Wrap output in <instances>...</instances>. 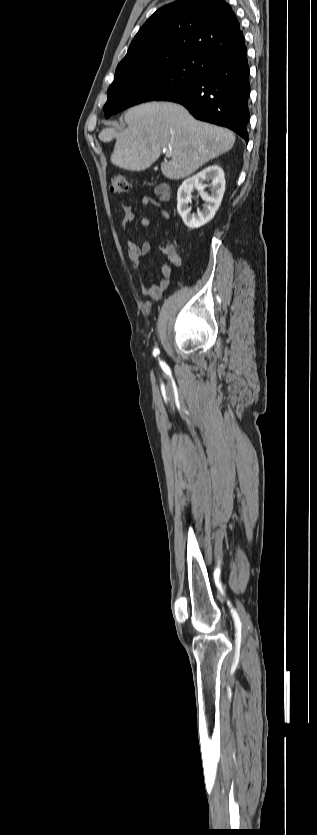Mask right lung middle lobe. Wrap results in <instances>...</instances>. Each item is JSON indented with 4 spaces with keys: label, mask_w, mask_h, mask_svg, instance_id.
Segmentation results:
<instances>
[{
    "label": "right lung middle lobe",
    "mask_w": 317,
    "mask_h": 835,
    "mask_svg": "<svg viewBox=\"0 0 317 835\" xmlns=\"http://www.w3.org/2000/svg\"><path fill=\"white\" fill-rule=\"evenodd\" d=\"M200 70V60L195 57L115 76L108 89V100L104 106L105 117L109 118L130 106L156 100L169 91L198 79Z\"/></svg>",
    "instance_id": "right-lung-middle-lobe-1"
}]
</instances>
